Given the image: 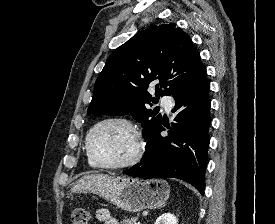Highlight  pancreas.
Masks as SVG:
<instances>
[{
    "label": "pancreas",
    "instance_id": "1",
    "mask_svg": "<svg viewBox=\"0 0 275 224\" xmlns=\"http://www.w3.org/2000/svg\"><path fill=\"white\" fill-rule=\"evenodd\" d=\"M138 220V217H131L127 218L125 217L122 221L121 224H136V221Z\"/></svg>",
    "mask_w": 275,
    "mask_h": 224
}]
</instances>
